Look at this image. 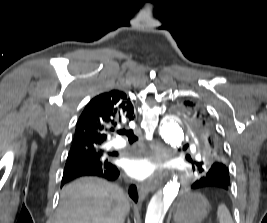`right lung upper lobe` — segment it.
<instances>
[{
  "label": "right lung upper lobe",
  "instance_id": "obj_1",
  "mask_svg": "<svg viewBox=\"0 0 267 223\" xmlns=\"http://www.w3.org/2000/svg\"><path fill=\"white\" fill-rule=\"evenodd\" d=\"M134 119L130 98L120 90H111L94 97L77 122L71 149L94 145L101 147L116 127Z\"/></svg>",
  "mask_w": 267,
  "mask_h": 223
}]
</instances>
